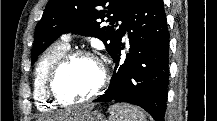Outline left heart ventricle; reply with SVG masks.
Returning <instances> with one entry per match:
<instances>
[{
  "instance_id": "left-heart-ventricle-1",
  "label": "left heart ventricle",
  "mask_w": 217,
  "mask_h": 121,
  "mask_svg": "<svg viewBox=\"0 0 217 121\" xmlns=\"http://www.w3.org/2000/svg\"><path fill=\"white\" fill-rule=\"evenodd\" d=\"M101 77L98 64L88 58H78L58 75L56 88L65 99L81 100L97 87Z\"/></svg>"
}]
</instances>
